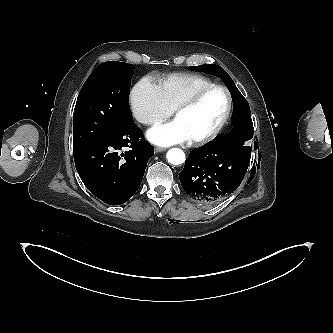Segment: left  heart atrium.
Returning a JSON list of instances; mask_svg holds the SVG:
<instances>
[{
	"label": "left heart atrium",
	"instance_id": "1",
	"mask_svg": "<svg viewBox=\"0 0 333 333\" xmlns=\"http://www.w3.org/2000/svg\"><path fill=\"white\" fill-rule=\"evenodd\" d=\"M147 137L152 143L160 146H170L189 140L186 132L176 120L154 126L148 130Z\"/></svg>",
	"mask_w": 333,
	"mask_h": 333
}]
</instances>
